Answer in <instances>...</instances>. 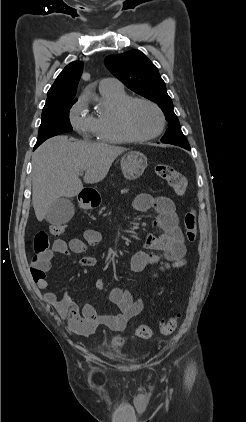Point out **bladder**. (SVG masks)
Returning <instances> with one entry per match:
<instances>
[{
    "instance_id": "1",
    "label": "bladder",
    "mask_w": 246,
    "mask_h": 422,
    "mask_svg": "<svg viewBox=\"0 0 246 422\" xmlns=\"http://www.w3.org/2000/svg\"><path fill=\"white\" fill-rule=\"evenodd\" d=\"M118 347H119V345L117 343H114L113 346H112L113 349H116Z\"/></svg>"
}]
</instances>
